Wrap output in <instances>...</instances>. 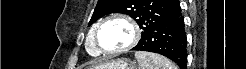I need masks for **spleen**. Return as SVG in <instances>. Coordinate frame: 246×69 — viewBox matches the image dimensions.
Returning <instances> with one entry per match:
<instances>
[{
    "instance_id": "spleen-1",
    "label": "spleen",
    "mask_w": 246,
    "mask_h": 69,
    "mask_svg": "<svg viewBox=\"0 0 246 69\" xmlns=\"http://www.w3.org/2000/svg\"><path fill=\"white\" fill-rule=\"evenodd\" d=\"M135 58L138 61L139 69H178L172 61L155 53L137 51Z\"/></svg>"
}]
</instances>
